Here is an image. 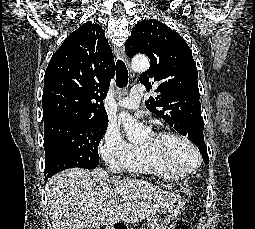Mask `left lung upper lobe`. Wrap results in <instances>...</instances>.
I'll return each mask as SVG.
<instances>
[{"label": "left lung upper lobe", "instance_id": "5c2ea615", "mask_svg": "<svg viewBox=\"0 0 255 229\" xmlns=\"http://www.w3.org/2000/svg\"><path fill=\"white\" fill-rule=\"evenodd\" d=\"M125 51L129 57L143 53L150 59V68L140 76V82L148 91L154 87L158 95L145 101L147 109L188 136L208 164L198 71L185 40L160 21L143 20L132 29Z\"/></svg>", "mask_w": 255, "mask_h": 229}]
</instances>
